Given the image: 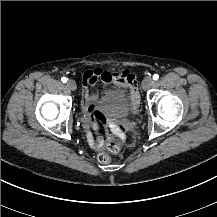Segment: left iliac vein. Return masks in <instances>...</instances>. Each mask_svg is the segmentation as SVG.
<instances>
[{"label":"left iliac vein","mask_w":217,"mask_h":217,"mask_svg":"<svg viewBox=\"0 0 217 217\" xmlns=\"http://www.w3.org/2000/svg\"><path fill=\"white\" fill-rule=\"evenodd\" d=\"M154 84V81L151 77H146L143 81V88L149 89Z\"/></svg>","instance_id":"left-iliac-vein-1"}]
</instances>
